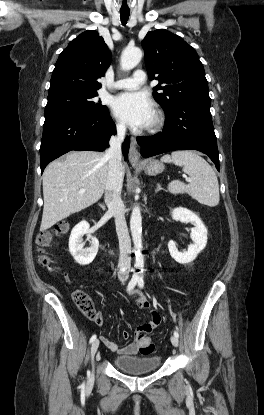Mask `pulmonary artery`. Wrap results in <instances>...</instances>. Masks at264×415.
<instances>
[{
	"instance_id": "obj_1",
	"label": "pulmonary artery",
	"mask_w": 264,
	"mask_h": 415,
	"mask_svg": "<svg viewBox=\"0 0 264 415\" xmlns=\"http://www.w3.org/2000/svg\"><path fill=\"white\" fill-rule=\"evenodd\" d=\"M145 81V72L142 70L135 71L132 76L118 80L114 87L116 89L134 90L139 88Z\"/></svg>"
}]
</instances>
